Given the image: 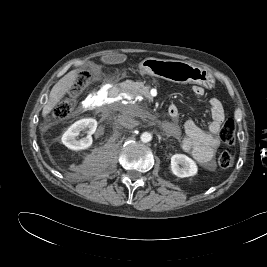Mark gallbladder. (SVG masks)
<instances>
[{"instance_id":"bac80fb5","label":"gallbladder","mask_w":267,"mask_h":267,"mask_svg":"<svg viewBox=\"0 0 267 267\" xmlns=\"http://www.w3.org/2000/svg\"><path fill=\"white\" fill-rule=\"evenodd\" d=\"M118 61V60H123V57L121 55H118L117 57H111V58H105L104 62H111V61ZM87 68L93 70L94 64L93 63H88Z\"/></svg>"}]
</instances>
